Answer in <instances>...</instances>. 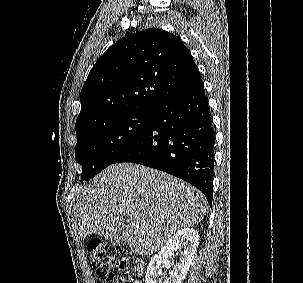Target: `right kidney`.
Here are the masks:
<instances>
[{
  "label": "right kidney",
  "instance_id": "ca27d5eb",
  "mask_svg": "<svg viewBox=\"0 0 303 283\" xmlns=\"http://www.w3.org/2000/svg\"><path fill=\"white\" fill-rule=\"evenodd\" d=\"M199 244V235L193 228H184L175 233L163 246L158 255L151 258L146 271V283H160L158 276L162 267L168 266V257L177 248H183L179 261L173 270L169 271V278L164 283H182L192 264Z\"/></svg>",
  "mask_w": 303,
  "mask_h": 283
}]
</instances>
